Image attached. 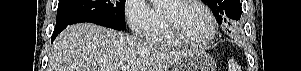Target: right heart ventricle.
<instances>
[{
	"label": "right heart ventricle",
	"instance_id": "right-heart-ventricle-1",
	"mask_svg": "<svg viewBox=\"0 0 301 71\" xmlns=\"http://www.w3.org/2000/svg\"><path fill=\"white\" fill-rule=\"evenodd\" d=\"M145 37L147 42L157 45H179V43L176 40H174V38L168 32L163 14L160 10L155 11V21Z\"/></svg>",
	"mask_w": 301,
	"mask_h": 71
}]
</instances>
